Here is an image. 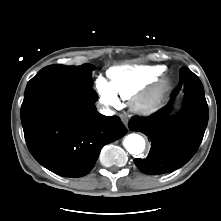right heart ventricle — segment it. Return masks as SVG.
<instances>
[{
    "label": "right heart ventricle",
    "instance_id": "1",
    "mask_svg": "<svg viewBox=\"0 0 221 221\" xmlns=\"http://www.w3.org/2000/svg\"><path fill=\"white\" fill-rule=\"evenodd\" d=\"M165 70L164 66H121L111 68L107 75L115 94L126 100L156 82Z\"/></svg>",
    "mask_w": 221,
    "mask_h": 221
}]
</instances>
